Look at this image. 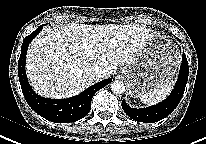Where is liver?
Listing matches in <instances>:
<instances>
[{"label":"liver","mask_w":206,"mask_h":144,"mask_svg":"<svg viewBox=\"0 0 206 144\" xmlns=\"http://www.w3.org/2000/svg\"><path fill=\"white\" fill-rule=\"evenodd\" d=\"M149 37V30L136 24L45 28L28 49L27 77L43 97H72L95 82L86 73L88 68H101V79L113 75L137 58Z\"/></svg>","instance_id":"6515ba94"}]
</instances>
